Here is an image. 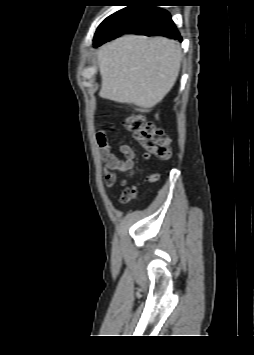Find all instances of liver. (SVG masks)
Instances as JSON below:
<instances>
[{
  "mask_svg": "<svg viewBox=\"0 0 254 355\" xmlns=\"http://www.w3.org/2000/svg\"><path fill=\"white\" fill-rule=\"evenodd\" d=\"M181 60L180 45L173 40L137 35L120 37L97 51L99 95L149 112L174 86Z\"/></svg>",
  "mask_w": 254,
  "mask_h": 355,
  "instance_id": "6515ba94",
  "label": "liver"
}]
</instances>
